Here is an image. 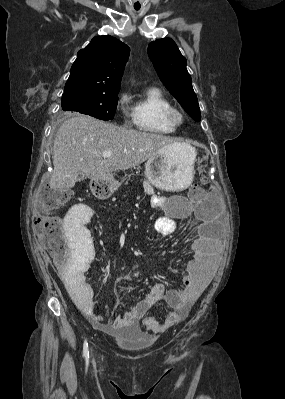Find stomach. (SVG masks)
I'll return each mask as SVG.
<instances>
[{
    "instance_id": "1",
    "label": "stomach",
    "mask_w": 285,
    "mask_h": 399,
    "mask_svg": "<svg viewBox=\"0 0 285 399\" xmlns=\"http://www.w3.org/2000/svg\"><path fill=\"white\" fill-rule=\"evenodd\" d=\"M195 149L186 143H177L158 152L145 164V175L155 187L178 191L193 181ZM120 182L113 175L92 179L90 188L95 197L109 198Z\"/></svg>"
}]
</instances>
